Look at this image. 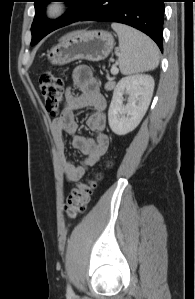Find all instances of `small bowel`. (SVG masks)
<instances>
[{"instance_id":"obj_1","label":"small bowel","mask_w":195,"mask_h":299,"mask_svg":"<svg viewBox=\"0 0 195 299\" xmlns=\"http://www.w3.org/2000/svg\"><path fill=\"white\" fill-rule=\"evenodd\" d=\"M72 86L65 92V102L59 117L54 119L51 129L56 145L63 158V173L68 182L75 183L84 178L89 167L96 165L109 147V138L103 132L106 127V99L100 91L96 78L87 67H77L72 72ZM72 87L79 90L75 94ZM90 108L92 113L86 119V127L95 133V138L76 134L78 124L74 113ZM64 134L72 135V146L81 151L85 158L74 164L65 158Z\"/></svg>"}]
</instances>
